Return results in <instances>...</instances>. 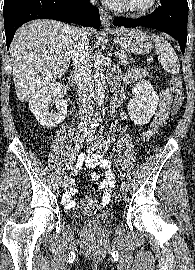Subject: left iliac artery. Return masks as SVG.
Here are the masks:
<instances>
[{"mask_svg": "<svg viewBox=\"0 0 195 270\" xmlns=\"http://www.w3.org/2000/svg\"><path fill=\"white\" fill-rule=\"evenodd\" d=\"M101 133V132H100ZM101 140H102V144H104L105 145V140H104V138H103V136H102V134H101ZM106 149H108V147L106 146ZM119 172H120V175H121V177H124V175H123V173H122V171L121 170H119Z\"/></svg>", "mask_w": 195, "mask_h": 270, "instance_id": "44dca946", "label": "left iliac artery"}]
</instances>
